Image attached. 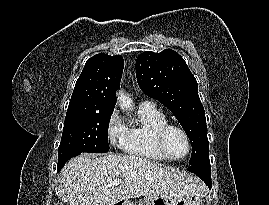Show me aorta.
<instances>
[{
  "label": "aorta",
  "instance_id": "1",
  "mask_svg": "<svg viewBox=\"0 0 269 205\" xmlns=\"http://www.w3.org/2000/svg\"><path fill=\"white\" fill-rule=\"evenodd\" d=\"M118 103L122 109H129L132 107V100L123 92H119Z\"/></svg>",
  "mask_w": 269,
  "mask_h": 205
}]
</instances>
